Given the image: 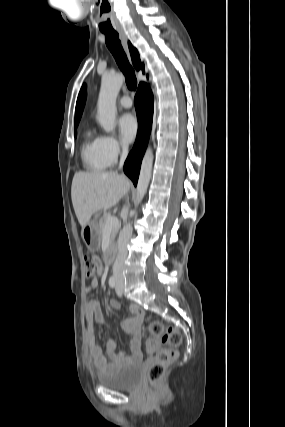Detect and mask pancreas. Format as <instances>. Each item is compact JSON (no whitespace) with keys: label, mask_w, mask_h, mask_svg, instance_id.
<instances>
[{"label":"pancreas","mask_w":285,"mask_h":427,"mask_svg":"<svg viewBox=\"0 0 285 427\" xmlns=\"http://www.w3.org/2000/svg\"><path fill=\"white\" fill-rule=\"evenodd\" d=\"M107 217H108V214L107 213H104L103 214V216L100 218V220H99V223H98V230H99V232H100V234L102 235L103 234V232H104V227H105V225H106V222H107ZM119 229H120V224L119 225H117L116 227H113L112 229H111V235H110V241H111V243H113L114 242V240H115V238H116V235H117V233L119 232Z\"/></svg>","instance_id":"pancreas-1"}]
</instances>
